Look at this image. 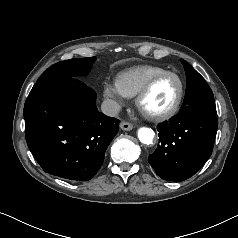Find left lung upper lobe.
Segmentation results:
<instances>
[{
	"instance_id": "1",
	"label": "left lung upper lobe",
	"mask_w": 238,
	"mask_h": 238,
	"mask_svg": "<svg viewBox=\"0 0 238 238\" xmlns=\"http://www.w3.org/2000/svg\"><path fill=\"white\" fill-rule=\"evenodd\" d=\"M187 76L185 101L179 115L191 116L201 111L213 110L215 100L204 78L185 60L181 59Z\"/></svg>"
}]
</instances>
